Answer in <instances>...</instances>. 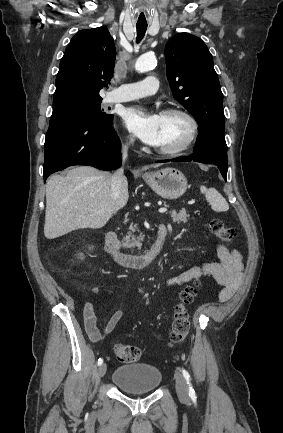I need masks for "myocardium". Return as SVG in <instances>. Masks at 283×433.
Wrapping results in <instances>:
<instances>
[{
  "mask_svg": "<svg viewBox=\"0 0 283 433\" xmlns=\"http://www.w3.org/2000/svg\"><path fill=\"white\" fill-rule=\"evenodd\" d=\"M167 114H177L181 115L184 118L187 119V121L190 124V133L187 139L176 149L169 150V151H161V155L164 157H178L186 153L192 145L197 140V137L199 135L200 131V124L197 118L189 112L187 109L182 107H167L162 112L161 115Z\"/></svg>",
  "mask_w": 283,
  "mask_h": 433,
  "instance_id": "1",
  "label": "myocardium"
}]
</instances>
